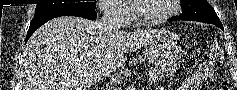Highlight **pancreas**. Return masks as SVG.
<instances>
[{
    "label": "pancreas",
    "mask_w": 237,
    "mask_h": 90,
    "mask_svg": "<svg viewBox=\"0 0 237 90\" xmlns=\"http://www.w3.org/2000/svg\"><path fill=\"white\" fill-rule=\"evenodd\" d=\"M179 66V64H178ZM177 70V64H163V67H154L151 68L149 74H146L147 78L150 80H154V78H158V80H166V78H171L173 76V72Z\"/></svg>",
    "instance_id": "1"
}]
</instances>
